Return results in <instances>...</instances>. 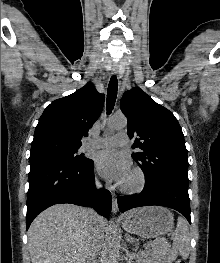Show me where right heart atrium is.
<instances>
[{
  "label": "right heart atrium",
  "instance_id": "d8ad5b80",
  "mask_svg": "<svg viewBox=\"0 0 220 263\" xmlns=\"http://www.w3.org/2000/svg\"><path fill=\"white\" fill-rule=\"evenodd\" d=\"M95 180H96L97 183L99 182V180L97 178Z\"/></svg>",
  "mask_w": 220,
  "mask_h": 263
}]
</instances>
